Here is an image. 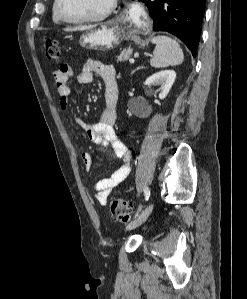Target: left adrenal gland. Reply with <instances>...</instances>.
Here are the masks:
<instances>
[{
  "label": "left adrenal gland",
  "instance_id": "1",
  "mask_svg": "<svg viewBox=\"0 0 247 299\" xmlns=\"http://www.w3.org/2000/svg\"><path fill=\"white\" fill-rule=\"evenodd\" d=\"M138 69H140V67H139V68H137V69H135V70H133L131 74H133V73H134L135 71H137Z\"/></svg>",
  "mask_w": 247,
  "mask_h": 299
}]
</instances>
